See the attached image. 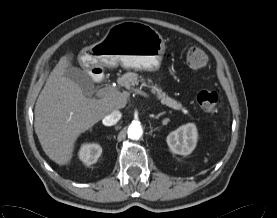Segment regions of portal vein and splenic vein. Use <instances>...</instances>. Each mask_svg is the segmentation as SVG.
I'll list each match as a JSON object with an SVG mask.
<instances>
[{
  "label": "portal vein and splenic vein",
  "instance_id": "portal-vein-and-splenic-vein-1",
  "mask_svg": "<svg viewBox=\"0 0 277 218\" xmlns=\"http://www.w3.org/2000/svg\"><path fill=\"white\" fill-rule=\"evenodd\" d=\"M115 91H116V89L111 87V86L104 87V88L100 89L97 92L96 96L97 97H101L103 95H106V94H109V93H112V92H115ZM135 92H136V94H139L141 96H144V97H147V98L149 97V95L147 93H145V92H143V91H141L139 89H136Z\"/></svg>",
  "mask_w": 277,
  "mask_h": 218
}]
</instances>
